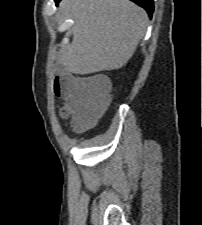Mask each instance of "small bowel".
<instances>
[{"instance_id": "1", "label": "small bowel", "mask_w": 202, "mask_h": 225, "mask_svg": "<svg viewBox=\"0 0 202 225\" xmlns=\"http://www.w3.org/2000/svg\"><path fill=\"white\" fill-rule=\"evenodd\" d=\"M96 78L112 84L110 78L104 74H99L96 76ZM69 105L73 110L72 124L74 126H78L90 114L89 110L86 107V100L82 96L74 95L69 101Z\"/></svg>"}]
</instances>
